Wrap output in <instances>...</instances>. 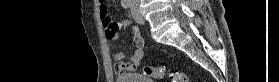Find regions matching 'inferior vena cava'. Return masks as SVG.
Wrapping results in <instances>:
<instances>
[{
    "mask_svg": "<svg viewBox=\"0 0 279 82\" xmlns=\"http://www.w3.org/2000/svg\"><path fill=\"white\" fill-rule=\"evenodd\" d=\"M131 6L134 12H139L138 0H131Z\"/></svg>",
    "mask_w": 279,
    "mask_h": 82,
    "instance_id": "obj_1",
    "label": "inferior vena cava"
}]
</instances>
